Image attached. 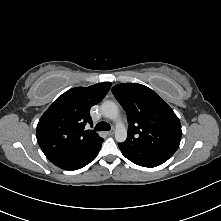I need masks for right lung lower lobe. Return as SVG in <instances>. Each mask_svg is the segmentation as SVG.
Listing matches in <instances>:
<instances>
[{
  "mask_svg": "<svg viewBox=\"0 0 221 221\" xmlns=\"http://www.w3.org/2000/svg\"><path fill=\"white\" fill-rule=\"evenodd\" d=\"M102 142L100 144H98L97 147L91 153H89L84 159H82L78 164H76L74 167H72V168H70L68 170L80 169V168L86 166L92 160H94L95 157L98 155L99 150L101 149Z\"/></svg>",
  "mask_w": 221,
  "mask_h": 221,
  "instance_id": "98d812e1",
  "label": "right lung lower lobe"
}]
</instances>
